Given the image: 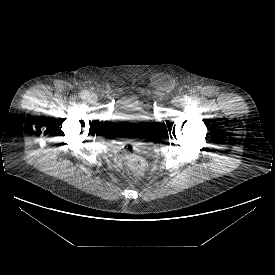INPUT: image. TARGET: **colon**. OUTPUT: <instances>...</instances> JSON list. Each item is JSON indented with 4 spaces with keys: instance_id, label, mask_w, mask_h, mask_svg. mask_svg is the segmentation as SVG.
I'll return each instance as SVG.
<instances>
[{
    "instance_id": "obj_1",
    "label": "colon",
    "mask_w": 275,
    "mask_h": 275,
    "mask_svg": "<svg viewBox=\"0 0 275 275\" xmlns=\"http://www.w3.org/2000/svg\"><path fill=\"white\" fill-rule=\"evenodd\" d=\"M118 161H125L134 174L140 173L145 167L144 158L132 145H126L121 149L118 155Z\"/></svg>"
}]
</instances>
